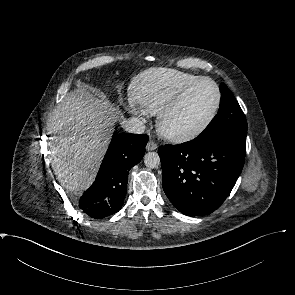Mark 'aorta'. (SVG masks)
Wrapping results in <instances>:
<instances>
[{"instance_id":"aorta-1","label":"aorta","mask_w":295,"mask_h":295,"mask_svg":"<svg viewBox=\"0 0 295 295\" xmlns=\"http://www.w3.org/2000/svg\"><path fill=\"white\" fill-rule=\"evenodd\" d=\"M144 164L146 167L154 169L160 165V157L156 152H148L144 156Z\"/></svg>"}]
</instances>
